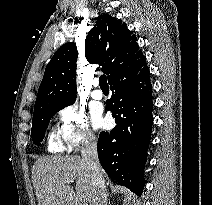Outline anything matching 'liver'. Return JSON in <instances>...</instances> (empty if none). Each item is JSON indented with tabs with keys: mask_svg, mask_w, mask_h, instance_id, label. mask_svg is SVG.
I'll use <instances>...</instances> for the list:
<instances>
[{
	"mask_svg": "<svg viewBox=\"0 0 212 205\" xmlns=\"http://www.w3.org/2000/svg\"><path fill=\"white\" fill-rule=\"evenodd\" d=\"M38 205H91V172L80 156H46L33 166ZM76 181L75 191L71 182Z\"/></svg>",
	"mask_w": 212,
	"mask_h": 205,
	"instance_id": "liver-1",
	"label": "liver"
}]
</instances>
